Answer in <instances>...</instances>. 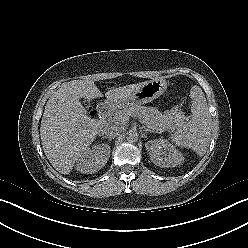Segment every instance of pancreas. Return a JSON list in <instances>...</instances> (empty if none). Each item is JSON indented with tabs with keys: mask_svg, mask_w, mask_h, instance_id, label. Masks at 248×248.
I'll return each instance as SVG.
<instances>
[{
	"mask_svg": "<svg viewBox=\"0 0 248 248\" xmlns=\"http://www.w3.org/2000/svg\"><path fill=\"white\" fill-rule=\"evenodd\" d=\"M130 116H137L150 131L163 132L167 129H176L184 123V115L177 111H170L165 114L153 107H144L132 104L116 110L109 117L110 123L126 125Z\"/></svg>",
	"mask_w": 248,
	"mask_h": 248,
	"instance_id": "obj_1",
	"label": "pancreas"
}]
</instances>
